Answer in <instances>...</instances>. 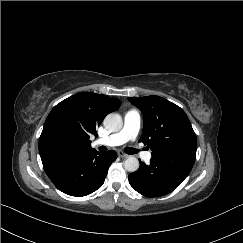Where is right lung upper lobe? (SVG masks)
Listing matches in <instances>:
<instances>
[{"instance_id":"right-lung-upper-lobe-1","label":"right lung upper lobe","mask_w":243,"mask_h":243,"mask_svg":"<svg viewBox=\"0 0 243 243\" xmlns=\"http://www.w3.org/2000/svg\"><path fill=\"white\" fill-rule=\"evenodd\" d=\"M119 107L120 101L117 98L80 92L58 103L49 113L44 125L57 121L70 128L75 133L76 144L68 157L79 156L94 150L91 148L90 135L97 136L96 127L107 114ZM42 163L49 162L42 160Z\"/></svg>"}]
</instances>
